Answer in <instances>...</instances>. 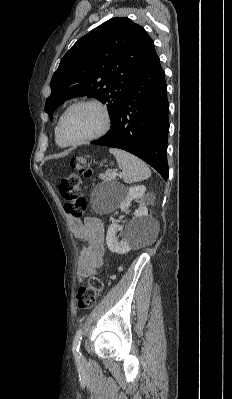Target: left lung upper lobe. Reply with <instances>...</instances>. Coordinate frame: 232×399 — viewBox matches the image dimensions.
Instances as JSON below:
<instances>
[{"label": "left lung upper lobe", "instance_id": "left-lung-upper-lobe-1", "mask_svg": "<svg viewBox=\"0 0 232 399\" xmlns=\"http://www.w3.org/2000/svg\"><path fill=\"white\" fill-rule=\"evenodd\" d=\"M152 42L129 18H112L81 37L61 59L51 80L45 112L64 101L88 96L107 104L111 123Z\"/></svg>", "mask_w": 232, "mask_h": 399}]
</instances>
